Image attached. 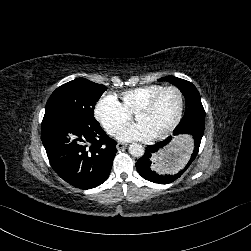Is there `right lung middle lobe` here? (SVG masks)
<instances>
[{"mask_svg":"<svg viewBox=\"0 0 251 251\" xmlns=\"http://www.w3.org/2000/svg\"><path fill=\"white\" fill-rule=\"evenodd\" d=\"M106 86L77 78L58 87L50 96L47 113H65L83 119H94V107Z\"/></svg>","mask_w":251,"mask_h":251,"instance_id":"obj_1","label":"right lung middle lobe"}]
</instances>
